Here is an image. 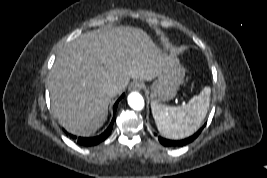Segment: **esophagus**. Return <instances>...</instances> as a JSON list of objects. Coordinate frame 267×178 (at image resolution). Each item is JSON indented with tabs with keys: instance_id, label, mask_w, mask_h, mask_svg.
<instances>
[{
	"instance_id": "34e87169",
	"label": "esophagus",
	"mask_w": 267,
	"mask_h": 178,
	"mask_svg": "<svg viewBox=\"0 0 267 178\" xmlns=\"http://www.w3.org/2000/svg\"><path fill=\"white\" fill-rule=\"evenodd\" d=\"M141 89H142V84L138 81L132 82L129 87L130 91H140Z\"/></svg>"
}]
</instances>
